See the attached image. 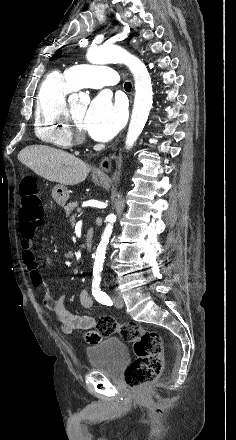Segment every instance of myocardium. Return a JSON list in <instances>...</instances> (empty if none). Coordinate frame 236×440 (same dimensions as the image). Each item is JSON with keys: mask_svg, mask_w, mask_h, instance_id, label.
<instances>
[{"mask_svg": "<svg viewBox=\"0 0 236 440\" xmlns=\"http://www.w3.org/2000/svg\"><path fill=\"white\" fill-rule=\"evenodd\" d=\"M65 119L67 122L68 131L72 139L78 143L84 142L85 141L84 130L76 122L70 107H67L66 109Z\"/></svg>", "mask_w": 236, "mask_h": 440, "instance_id": "myocardium-1", "label": "myocardium"}]
</instances>
